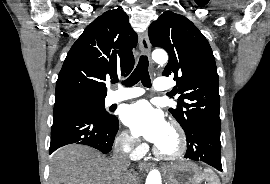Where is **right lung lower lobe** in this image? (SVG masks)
<instances>
[{
	"label": "right lung lower lobe",
	"mask_w": 270,
	"mask_h": 184,
	"mask_svg": "<svg viewBox=\"0 0 270 184\" xmlns=\"http://www.w3.org/2000/svg\"><path fill=\"white\" fill-rule=\"evenodd\" d=\"M119 121L114 117L103 121L81 106L54 108L49 154L67 144H83L100 150L111 151Z\"/></svg>",
	"instance_id": "obj_1"
}]
</instances>
